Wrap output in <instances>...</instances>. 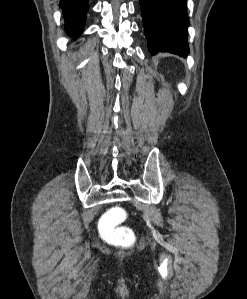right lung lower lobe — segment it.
<instances>
[{"label":"right lung lower lobe","mask_w":247,"mask_h":299,"mask_svg":"<svg viewBox=\"0 0 247 299\" xmlns=\"http://www.w3.org/2000/svg\"><path fill=\"white\" fill-rule=\"evenodd\" d=\"M89 0H60L65 19V30L70 36L80 35L83 31Z\"/></svg>","instance_id":"obj_1"}]
</instances>
